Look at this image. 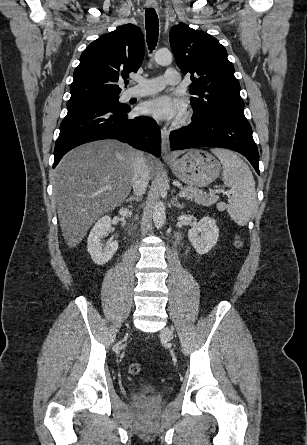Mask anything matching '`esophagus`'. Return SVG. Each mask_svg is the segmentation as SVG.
Here are the masks:
<instances>
[{
    "label": "esophagus",
    "instance_id": "obj_1",
    "mask_svg": "<svg viewBox=\"0 0 307 445\" xmlns=\"http://www.w3.org/2000/svg\"><path fill=\"white\" fill-rule=\"evenodd\" d=\"M146 6L147 8H153L156 11H159L157 3H147ZM161 153L163 158L165 159L172 158L170 151L169 132L166 126H161Z\"/></svg>",
    "mask_w": 307,
    "mask_h": 445
}]
</instances>
